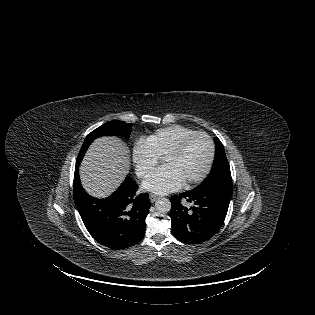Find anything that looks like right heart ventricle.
<instances>
[{"mask_svg": "<svg viewBox=\"0 0 315 315\" xmlns=\"http://www.w3.org/2000/svg\"><path fill=\"white\" fill-rule=\"evenodd\" d=\"M196 132L183 125H170L160 128L145 140L151 146L158 158L163 157L175 144L185 136Z\"/></svg>", "mask_w": 315, "mask_h": 315, "instance_id": "e07e8e85", "label": "right heart ventricle"}]
</instances>
